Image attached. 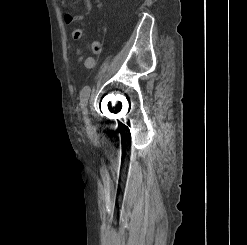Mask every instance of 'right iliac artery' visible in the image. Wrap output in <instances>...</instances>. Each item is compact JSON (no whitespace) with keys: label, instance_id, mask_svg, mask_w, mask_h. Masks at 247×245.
Returning a JSON list of instances; mask_svg holds the SVG:
<instances>
[{"label":"right iliac artery","instance_id":"82829eb1","mask_svg":"<svg viewBox=\"0 0 247 245\" xmlns=\"http://www.w3.org/2000/svg\"><path fill=\"white\" fill-rule=\"evenodd\" d=\"M89 95H90V87L85 86L80 93V101H81L82 108L86 106Z\"/></svg>","mask_w":247,"mask_h":245}]
</instances>
